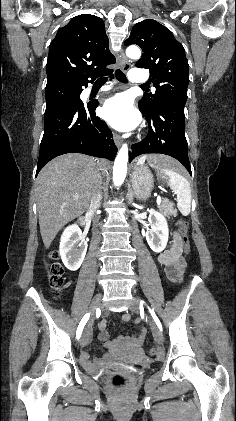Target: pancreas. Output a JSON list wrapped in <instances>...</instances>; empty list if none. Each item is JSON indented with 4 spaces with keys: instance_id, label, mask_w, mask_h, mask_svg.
Returning a JSON list of instances; mask_svg holds the SVG:
<instances>
[{
    "instance_id": "pancreas-1",
    "label": "pancreas",
    "mask_w": 236,
    "mask_h": 421,
    "mask_svg": "<svg viewBox=\"0 0 236 421\" xmlns=\"http://www.w3.org/2000/svg\"><path fill=\"white\" fill-rule=\"evenodd\" d=\"M159 211L162 215H164V217H168V215H171V217H177V208H174V202H169V200H165V202L160 204Z\"/></svg>"
}]
</instances>
